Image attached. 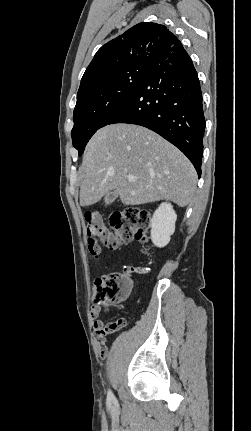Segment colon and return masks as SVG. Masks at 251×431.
<instances>
[{
    "label": "colon",
    "mask_w": 251,
    "mask_h": 431,
    "mask_svg": "<svg viewBox=\"0 0 251 431\" xmlns=\"http://www.w3.org/2000/svg\"><path fill=\"white\" fill-rule=\"evenodd\" d=\"M86 236L89 251L94 257L101 254V244L109 249H115L132 240L146 242L151 221L150 213L139 207H129L110 216L109 223L95 212L85 214ZM144 268L126 265L122 272H113L98 277L92 288V300L97 306L109 309L124 301L132 286V275L144 273ZM125 325L120 318L110 323V329H118Z\"/></svg>",
    "instance_id": "1"
}]
</instances>
